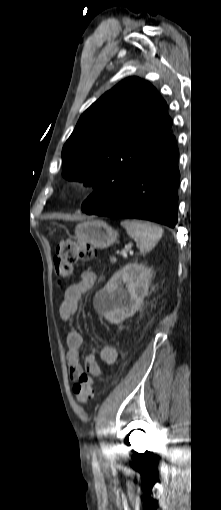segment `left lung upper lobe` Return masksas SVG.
Listing matches in <instances>:
<instances>
[{
	"instance_id": "1",
	"label": "left lung upper lobe",
	"mask_w": 221,
	"mask_h": 510,
	"mask_svg": "<svg viewBox=\"0 0 221 510\" xmlns=\"http://www.w3.org/2000/svg\"><path fill=\"white\" fill-rule=\"evenodd\" d=\"M167 104L147 81L118 83L80 117L62 151L63 176L95 191V208L110 203L143 162L175 142Z\"/></svg>"
}]
</instances>
